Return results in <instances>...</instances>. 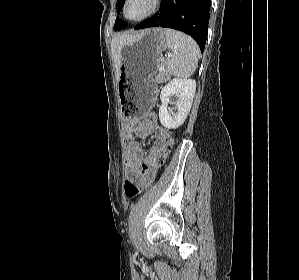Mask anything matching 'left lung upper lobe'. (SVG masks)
I'll return each mask as SVG.
<instances>
[{
    "instance_id": "1",
    "label": "left lung upper lobe",
    "mask_w": 299,
    "mask_h": 280,
    "mask_svg": "<svg viewBox=\"0 0 299 280\" xmlns=\"http://www.w3.org/2000/svg\"><path fill=\"white\" fill-rule=\"evenodd\" d=\"M124 3H125V0H117V11H118V13L122 9ZM126 26H127L126 22L122 21L119 18H116L115 25H114L115 30H120V29H122Z\"/></svg>"
}]
</instances>
